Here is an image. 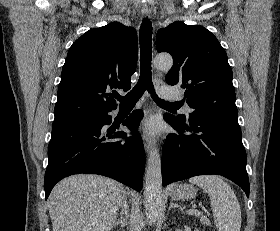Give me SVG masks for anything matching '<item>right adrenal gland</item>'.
<instances>
[{
  "label": "right adrenal gland",
  "mask_w": 280,
  "mask_h": 231,
  "mask_svg": "<svg viewBox=\"0 0 280 231\" xmlns=\"http://www.w3.org/2000/svg\"><path fill=\"white\" fill-rule=\"evenodd\" d=\"M117 225H120V227H125V225H127V215L126 217H123V215H121L120 219L114 221L113 227H117Z\"/></svg>",
  "instance_id": "obj_1"
}]
</instances>
